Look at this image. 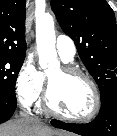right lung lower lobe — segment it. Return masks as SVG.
Masks as SVG:
<instances>
[{
    "label": "right lung lower lobe",
    "mask_w": 117,
    "mask_h": 136,
    "mask_svg": "<svg viewBox=\"0 0 117 136\" xmlns=\"http://www.w3.org/2000/svg\"><path fill=\"white\" fill-rule=\"evenodd\" d=\"M17 105L15 95L0 92V123L11 118Z\"/></svg>",
    "instance_id": "obj_1"
}]
</instances>
